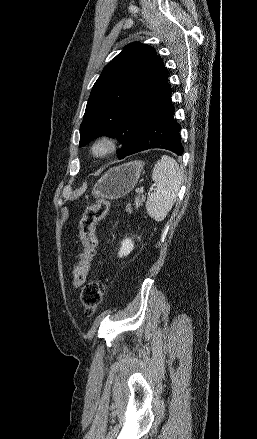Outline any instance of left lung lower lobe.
I'll return each mask as SVG.
<instances>
[{
	"label": "left lung lower lobe",
	"instance_id": "obj_1",
	"mask_svg": "<svg viewBox=\"0 0 257 439\" xmlns=\"http://www.w3.org/2000/svg\"><path fill=\"white\" fill-rule=\"evenodd\" d=\"M170 97L171 89L168 88L144 118L136 144L126 156L152 148L166 149L180 156L183 154L179 134L181 126L173 118L174 107Z\"/></svg>",
	"mask_w": 257,
	"mask_h": 439
}]
</instances>
